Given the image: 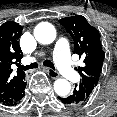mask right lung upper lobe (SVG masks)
I'll list each match as a JSON object with an SVG mask.
<instances>
[{"mask_svg":"<svg viewBox=\"0 0 117 117\" xmlns=\"http://www.w3.org/2000/svg\"><path fill=\"white\" fill-rule=\"evenodd\" d=\"M22 30V26L12 21L0 26V101L10 95L19 81L25 79L23 71L13 75L11 69V65L23 56L19 46Z\"/></svg>","mask_w":117,"mask_h":117,"instance_id":"obj_1","label":"right lung upper lobe"}]
</instances>
